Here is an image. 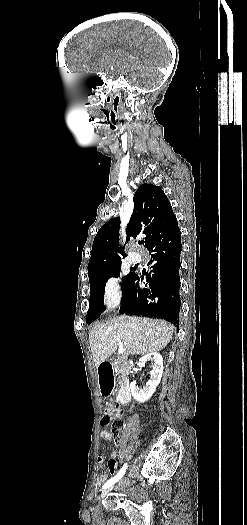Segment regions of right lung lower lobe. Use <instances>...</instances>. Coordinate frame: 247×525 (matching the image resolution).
Instances as JSON below:
<instances>
[{
	"mask_svg": "<svg viewBox=\"0 0 247 525\" xmlns=\"http://www.w3.org/2000/svg\"><path fill=\"white\" fill-rule=\"evenodd\" d=\"M180 239L181 232L177 224L146 246L151 254V277L144 279L134 275L123 295L121 313L151 316L178 324ZM139 283H144L145 287L140 288Z\"/></svg>",
	"mask_w": 247,
	"mask_h": 525,
	"instance_id": "1",
	"label": "right lung lower lobe"
}]
</instances>
